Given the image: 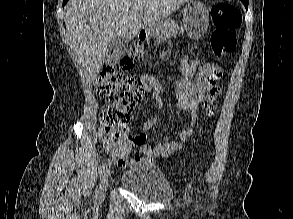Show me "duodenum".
Segmentation results:
<instances>
[{
	"instance_id": "1",
	"label": "duodenum",
	"mask_w": 293,
	"mask_h": 219,
	"mask_svg": "<svg viewBox=\"0 0 293 219\" xmlns=\"http://www.w3.org/2000/svg\"><path fill=\"white\" fill-rule=\"evenodd\" d=\"M148 33H149V31H148V28L147 27H143L141 29V31L139 33V40H140V42H144L147 39Z\"/></svg>"
}]
</instances>
